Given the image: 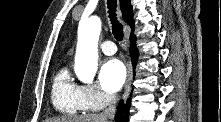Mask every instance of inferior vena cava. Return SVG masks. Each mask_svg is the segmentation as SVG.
Instances as JSON below:
<instances>
[{"mask_svg": "<svg viewBox=\"0 0 221 122\" xmlns=\"http://www.w3.org/2000/svg\"><path fill=\"white\" fill-rule=\"evenodd\" d=\"M117 96L115 94H111L109 96V105L108 107L100 114L102 118L105 119H112L114 118L115 111H116V102H117Z\"/></svg>", "mask_w": 221, "mask_h": 122, "instance_id": "602c4592", "label": "inferior vena cava"}]
</instances>
